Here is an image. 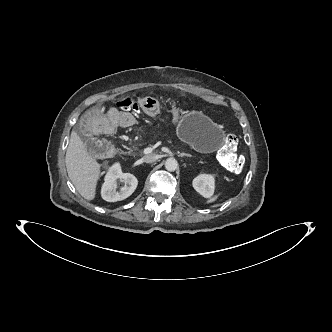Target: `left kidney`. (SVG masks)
Wrapping results in <instances>:
<instances>
[{"label":"left kidney","mask_w":332,"mask_h":332,"mask_svg":"<svg viewBox=\"0 0 332 332\" xmlns=\"http://www.w3.org/2000/svg\"><path fill=\"white\" fill-rule=\"evenodd\" d=\"M194 189L203 197H210L214 193V176L209 174H200L194 178L192 183Z\"/></svg>","instance_id":"1"}]
</instances>
